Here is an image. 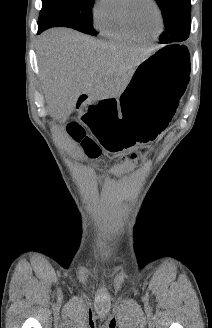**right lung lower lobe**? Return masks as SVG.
Instances as JSON below:
<instances>
[{"instance_id":"98d812e1","label":"right lung lower lobe","mask_w":212,"mask_h":328,"mask_svg":"<svg viewBox=\"0 0 212 328\" xmlns=\"http://www.w3.org/2000/svg\"><path fill=\"white\" fill-rule=\"evenodd\" d=\"M44 30L45 28L43 26H38V34H40Z\"/></svg>"}]
</instances>
